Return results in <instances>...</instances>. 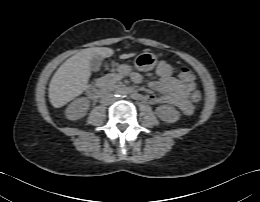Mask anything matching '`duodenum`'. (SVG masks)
I'll list each match as a JSON object with an SVG mask.
<instances>
[{
    "label": "duodenum",
    "instance_id": "obj_1",
    "mask_svg": "<svg viewBox=\"0 0 260 202\" xmlns=\"http://www.w3.org/2000/svg\"><path fill=\"white\" fill-rule=\"evenodd\" d=\"M99 86H100L101 90L109 88V89H112V90L125 92V93L131 95L133 98H137V99L141 98V94L137 93L133 88H130V87H121V86L120 87H113L112 82H107V81H104V80L99 82ZM101 90H99L95 87H89L86 90V94L89 98L95 99L101 94Z\"/></svg>",
    "mask_w": 260,
    "mask_h": 202
}]
</instances>
